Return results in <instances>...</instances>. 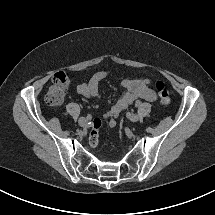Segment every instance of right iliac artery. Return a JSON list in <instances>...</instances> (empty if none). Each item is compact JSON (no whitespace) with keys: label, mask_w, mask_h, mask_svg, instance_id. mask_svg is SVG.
Segmentation results:
<instances>
[{"label":"right iliac artery","mask_w":215,"mask_h":215,"mask_svg":"<svg viewBox=\"0 0 215 215\" xmlns=\"http://www.w3.org/2000/svg\"><path fill=\"white\" fill-rule=\"evenodd\" d=\"M91 118H92V116H91V115H87V119H89V120H90Z\"/></svg>","instance_id":"obj_1"}]
</instances>
